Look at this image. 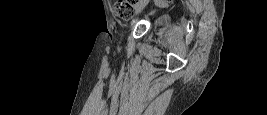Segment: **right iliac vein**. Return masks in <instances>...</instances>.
<instances>
[{"mask_svg":"<svg viewBox=\"0 0 267 115\" xmlns=\"http://www.w3.org/2000/svg\"><path fill=\"white\" fill-rule=\"evenodd\" d=\"M145 3L141 2L139 6H137L136 8V13H139L144 7H145Z\"/></svg>","mask_w":267,"mask_h":115,"instance_id":"obj_1","label":"right iliac vein"}]
</instances>
